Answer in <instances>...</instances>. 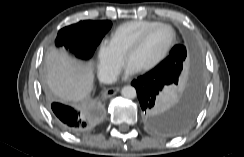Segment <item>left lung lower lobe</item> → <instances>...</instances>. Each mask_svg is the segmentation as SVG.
Here are the masks:
<instances>
[{"label":"left lung lower lobe","instance_id":"1","mask_svg":"<svg viewBox=\"0 0 244 157\" xmlns=\"http://www.w3.org/2000/svg\"><path fill=\"white\" fill-rule=\"evenodd\" d=\"M178 84L161 72L151 70L132 82L136 88L146 125L162 136H176L185 132L196 119L202 104L204 82L198 70L191 76L181 98L167 104L165 94Z\"/></svg>","mask_w":244,"mask_h":157}]
</instances>
